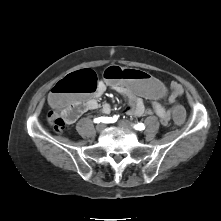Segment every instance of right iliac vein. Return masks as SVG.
<instances>
[{"mask_svg":"<svg viewBox=\"0 0 221 221\" xmlns=\"http://www.w3.org/2000/svg\"><path fill=\"white\" fill-rule=\"evenodd\" d=\"M104 129H105V125H104L103 123L98 124V125L96 126L97 132H102Z\"/></svg>","mask_w":221,"mask_h":221,"instance_id":"obj_1","label":"right iliac vein"}]
</instances>
